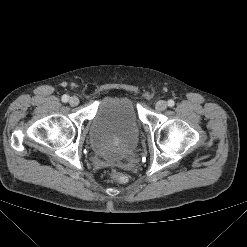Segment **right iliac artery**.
<instances>
[{"mask_svg":"<svg viewBox=\"0 0 247 247\" xmlns=\"http://www.w3.org/2000/svg\"><path fill=\"white\" fill-rule=\"evenodd\" d=\"M69 100V96L68 95H63L62 96V101L63 102H67Z\"/></svg>","mask_w":247,"mask_h":247,"instance_id":"obj_1","label":"right iliac artery"}]
</instances>
